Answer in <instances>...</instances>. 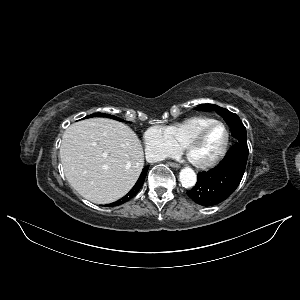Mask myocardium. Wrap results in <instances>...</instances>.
I'll return each mask as SVG.
<instances>
[{"mask_svg":"<svg viewBox=\"0 0 300 300\" xmlns=\"http://www.w3.org/2000/svg\"><path fill=\"white\" fill-rule=\"evenodd\" d=\"M219 125L222 126L225 130V140L223 143V146L220 150V152L211 160L207 161V162H195L191 159L190 157V153L192 151V149L197 146L202 139L205 137V135L207 134V132L214 126ZM229 141H230V131L228 126L219 120H213L212 122L208 123L207 125L203 126L201 129H199L184 145L183 150L184 153L187 157V159L189 160V162L197 169L200 170H206L209 168H212L214 166H216L217 164H219L224 157L227 154L228 151V147H229Z\"/></svg>","mask_w":300,"mask_h":300,"instance_id":"myocardium-1","label":"myocardium"}]
</instances>
